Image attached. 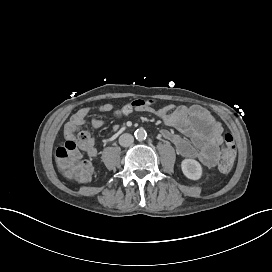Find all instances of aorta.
Segmentation results:
<instances>
[{"instance_id":"1","label":"aorta","mask_w":272,"mask_h":272,"mask_svg":"<svg viewBox=\"0 0 272 272\" xmlns=\"http://www.w3.org/2000/svg\"><path fill=\"white\" fill-rule=\"evenodd\" d=\"M146 137H147V132L143 128L137 129L135 131V138L138 141L145 140Z\"/></svg>"}]
</instances>
